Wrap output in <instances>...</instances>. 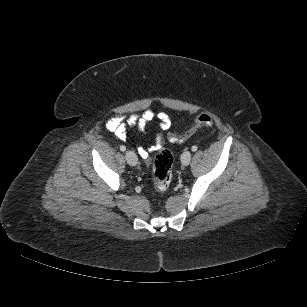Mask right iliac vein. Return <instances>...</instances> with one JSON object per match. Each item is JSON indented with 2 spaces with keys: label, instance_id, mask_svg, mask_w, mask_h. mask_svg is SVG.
<instances>
[{
  "label": "right iliac vein",
  "instance_id": "63e3f726",
  "mask_svg": "<svg viewBox=\"0 0 307 307\" xmlns=\"http://www.w3.org/2000/svg\"><path fill=\"white\" fill-rule=\"evenodd\" d=\"M125 158L127 163L131 166H135L138 163V158L133 151H126Z\"/></svg>",
  "mask_w": 307,
  "mask_h": 307
}]
</instances>
